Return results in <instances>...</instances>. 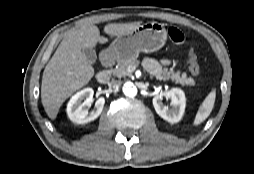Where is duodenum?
<instances>
[{
  "label": "duodenum",
  "mask_w": 254,
  "mask_h": 174,
  "mask_svg": "<svg viewBox=\"0 0 254 174\" xmlns=\"http://www.w3.org/2000/svg\"><path fill=\"white\" fill-rule=\"evenodd\" d=\"M101 63L104 70H101L96 74V80L101 84H106L110 80V74L106 69L113 65V59L109 54H105L101 58Z\"/></svg>",
  "instance_id": "1"
}]
</instances>
